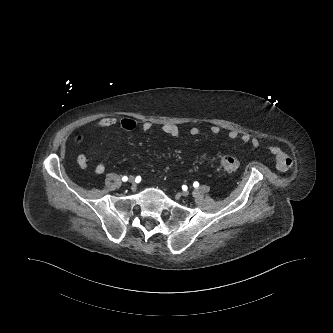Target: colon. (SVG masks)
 <instances>
[{
  "mask_svg": "<svg viewBox=\"0 0 333 333\" xmlns=\"http://www.w3.org/2000/svg\"><path fill=\"white\" fill-rule=\"evenodd\" d=\"M81 137L77 138V141H80ZM219 166L220 168L229 173H235L240 167V161L236 156L233 155H223L219 158Z\"/></svg>",
  "mask_w": 333,
  "mask_h": 333,
  "instance_id": "1",
  "label": "colon"
}]
</instances>
